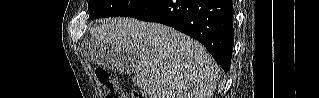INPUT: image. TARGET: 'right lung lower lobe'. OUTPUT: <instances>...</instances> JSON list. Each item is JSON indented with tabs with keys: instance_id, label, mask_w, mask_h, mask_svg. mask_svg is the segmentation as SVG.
Returning a JSON list of instances; mask_svg holds the SVG:
<instances>
[{
	"instance_id": "1",
	"label": "right lung lower lobe",
	"mask_w": 319,
	"mask_h": 98,
	"mask_svg": "<svg viewBox=\"0 0 319 98\" xmlns=\"http://www.w3.org/2000/svg\"><path fill=\"white\" fill-rule=\"evenodd\" d=\"M232 0H146L120 16L162 23L201 42L227 73L234 45Z\"/></svg>"
}]
</instances>
